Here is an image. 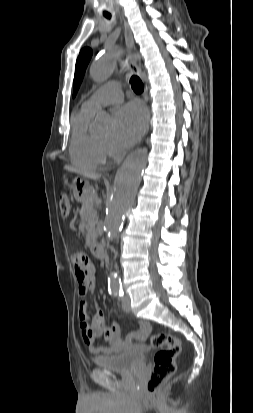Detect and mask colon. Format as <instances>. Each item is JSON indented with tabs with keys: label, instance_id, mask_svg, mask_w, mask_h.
Returning a JSON list of instances; mask_svg holds the SVG:
<instances>
[{
	"label": "colon",
	"instance_id": "1",
	"mask_svg": "<svg viewBox=\"0 0 253 413\" xmlns=\"http://www.w3.org/2000/svg\"><path fill=\"white\" fill-rule=\"evenodd\" d=\"M59 209L62 217L70 214L71 203L66 194H62L59 198ZM150 344L157 349V352L146 388L150 395H156L162 384L175 373L181 342L176 336L161 332L151 336Z\"/></svg>",
	"mask_w": 253,
	"mask_h": 413
}]
</instances>
